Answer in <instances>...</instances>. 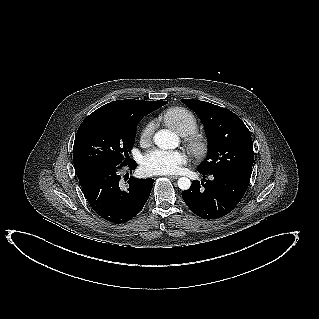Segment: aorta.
Here are the masks:
<instances>
[{"mask_svg": "<svg viewBox=\"0 0 319 319\" xmlns=\"http://www.w3.org/2000/svg\"><path fill=\"white\" fill-rule=\"evenodd\" d=\"M155 144L161 149H174L178 146V137L170 130L162 129L154 135ZM191 186V181L187 177L178 179V187L181 190H187Z\"/></svg>", "mask_w": 319, "mask_h": 319, "instance_id": "762f6f07", "label": "aorta"}]
</instances>
